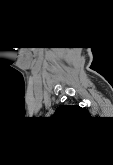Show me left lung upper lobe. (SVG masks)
<instances>
[{
	"mask_svg": "<svg viewBox=\"0 0 113 165\" xmlns=\"http://www.w3.org/2000/svg\"><path fill=\"white\" fill-rule=\"evenodd\" d=\"M55 114H66V115H70V116H87L88 115V111L85 110L84 108H81L80 106L74 105V106H63V107H59L56 110Z\"/></svg>",
	"mask_w": 113,
	"mask_h": 165,
	"instance_id": "5c2ea615",
	"label": "left lung upper lobe"
}]
</instances>
